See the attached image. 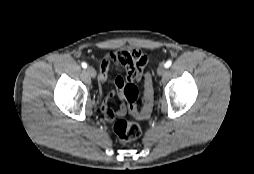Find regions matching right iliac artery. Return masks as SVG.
I'll return each mask as SVG.
<instances>
[{
  "instance_id": "right-iliac-artery-1",
  "label": "right iliac artery",
  "mask_w": 254,
  "mask_h": 174,
  "mask_svg": "<svg viewBox=\"0 0 254 174\" xmlns=\"http://www.w3.org/2000/svg\"><path fill=\"white\" fill-rule=\"evenodd\" d=\"M82 67L83 68H86L87 67V64L85 62L82 63Z\"/></svg>"
}]
</instances>
